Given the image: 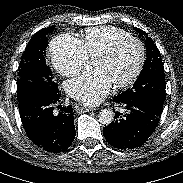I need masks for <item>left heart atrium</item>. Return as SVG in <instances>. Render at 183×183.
Segmentation results:
<instances>
[{
  "mask_svg": "<svg viewBox=\"0 0 183 183\" xmlns=\"http://www.w3.org/2000/svg\"><path fill=\"white\" fill-rule=\"evenodd\" d=\"M112 83L107 75L100 70L85 73L70 80L66 91L72 98L87 104L95 105L109 93Z\"/></svg>",
  "mask_w": 183,
  "mask_h": 183,
  "instance_id": "39dd6f15",
  "label": "left heart atrium"
}]
</instances>
